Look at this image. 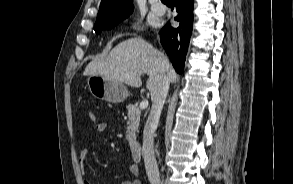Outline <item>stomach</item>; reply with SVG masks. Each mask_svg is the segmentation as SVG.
<instances>
[{"label":"stomach","mask_w":293,"mask_h":184,"mask_svg":"<svg viewBox=\"0 0 293 184\" xmlns=\"http://www.w3.org/2000/svg\"><path fill=\"white\" fill-rule=\"evenodd\" d=\"M87 86L95 98L110 103H121L129 96L124 83L101 75H89Z\"/></svg>","instance_id":"obj_1"}]
</instances>
